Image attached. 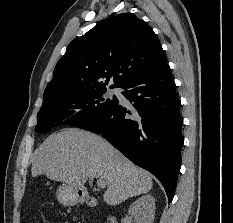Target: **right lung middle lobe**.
Returning <instances> with one entry per match:
<instances>
[{
  "label": "right lung middle lobe",
  "mask_w": 233,
  "mask_h": 223,
  "mask_svg": "<svg viewBox=\"0 0 233 223\" xmlns=\"http://www.w3.org/2000/svg\"><path fill=\"white\" fill-rule=\"evenodd\" d=\"M106 87L93 88L42 105L37 114V132H47L59 125L81 127L104 111L113 109L118 100L104 95Z\"/></svg>",
  "instance_id": "1"
}]
</instances>
